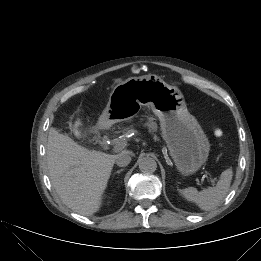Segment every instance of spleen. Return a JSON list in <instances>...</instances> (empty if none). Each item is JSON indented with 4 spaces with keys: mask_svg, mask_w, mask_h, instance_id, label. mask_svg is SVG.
Returning a JSON list of instances; mask_svg holds the SVG:
<instances>
[{
    "mask_svg": "<svg viewBox=\"0 0 261 261\" xmlns=\"http://www.w3.org/2000/svg\"><path fill=\"white\" fill-rule=\"evenodd\" d=\"M232 176V169H227L221 173L216 186L209 187L200 192L194 187H188L182 191V195L187 201L196 203L200 209L210 211L216 208L226 197Z\"/></svg>",
    "mask_w": 261,
    "mask_h": 261,
    "instance_id": "spleen-1",
    "label": "spleen"
}]
</instances>
